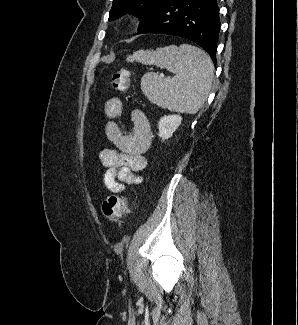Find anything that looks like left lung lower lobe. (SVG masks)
Segmentation results:
<instances>
[{"instance_id":"left-lung-lower-lobe-1","label":"left lung lower lobe","mask_w":298,"mask_h":325,"mask_svg":"<svg viewBox=\"0 0 298 325\" xmlns=\"http://www.w3.org/2000/svg\"><path fill=\"white\" fill-rule=\"evenodd\" d=\"M220 31L217 0H167L138 34L175 35L200 45L216 64Z\"/></svg>"}]
</instances>
